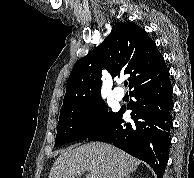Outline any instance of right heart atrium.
Instances as JSON below:
<instances>
[{
  "label": "right heart atrium",
  "instance_id": "d8ad5b80",
  "mask_svg": "<svg viewBox=\"0 0 194 178\" xmlns=\"http://www.w3.org/2000/svg\"><path fill=\"white\" fill-rule=\"evenodd\" d=\"M97 122V119L95 116H90L88 119H87V124L90 125V126H93L95 125Z\"/></svg>",
  "mask_w": 194,
  "mask_h": 178
}]
</instances>
